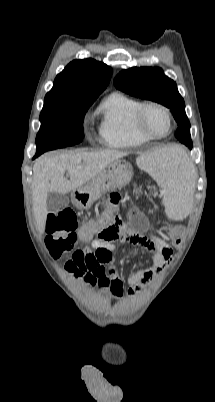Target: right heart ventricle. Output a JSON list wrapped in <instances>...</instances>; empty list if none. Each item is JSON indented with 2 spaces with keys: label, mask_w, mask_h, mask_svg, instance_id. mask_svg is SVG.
<instances>
[{
  "label": "right heart ventricle",
  "mask_w": 215,
  "mask_h": 402,
  "mask_svg": "<svg viewBox=\"0 0 215 402\" xmlns=\"http://www.w3.org/2000/svg\"><path fill=\"white\" fill-rule=\"evenodd\" d=\"M141 102L123 93L114 92L105 98L97 109L101 144L116 149L139 147L150 139L136 130L134 117Z\"/></svg>",
  "instance_id": "1"
}]
</instances>
